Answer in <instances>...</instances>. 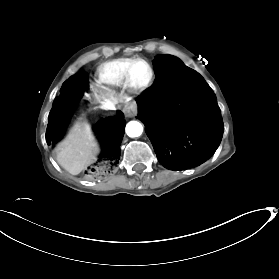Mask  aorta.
Instances as JSON below:
<instances>
[{
	"label": "aorta",
	"instance_id": "obj_1",
	"mask_svg": "<svg viewBox=\"0 0 279 279\" xmlns=\"http://www.w3.org/2000/svg\"><path fill=\"white\" fill-rule=\"evenodd\" d=\"M143 132V126L137 121H130L126 125V133L129 137H138Z\"/></svg>",
	"mask_w": 279,
	"mask_h": 279
}]
</instances>
